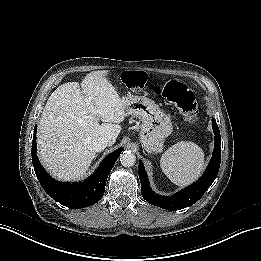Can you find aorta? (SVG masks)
I'll return each instance as SVG.
<instances>
[{"label": "aorta", "mask_w": 261, "mask_h": 261, "mask_svg": "<svg viewBox=\"0 0 261 261\" xmlns=\"http://www.w3.org/2000/svg\"><path fill=\"white\" fill-rule=\"evenodd\" d=\"M120 163L124 166V167H132L135 165L136 163V156L135 154L130 151V150H126L123 151L120 155Z\"/></svg>", "instance_id": "obj_1"}]
</instances>
